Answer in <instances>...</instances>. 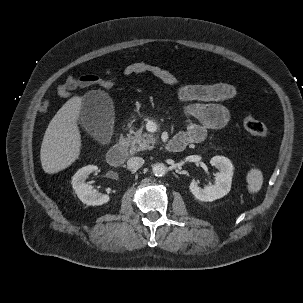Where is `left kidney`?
Segmentation results:
<instances>
[{
	"label": "left kidney",
	"instance_id": "obj_1",
	"mask_svg": "<svg viewBox=\"0 0 303 303\" xmlns=\"http://www.w3.org/2000/svg\"><path fill=\"white\" fill-rule=\"evenodd\" d=\"M210 164L216 167L219 172L215 175V185H208L201 188L192 180L189 185L190 192L196 199L204 202L215 201L224 197L230 192L233 176V164L224 156H214L210 160Z\"/></svg>",
	"mask_w": 303,
	"mask_h": 303
}]
</instances>
